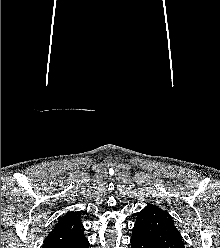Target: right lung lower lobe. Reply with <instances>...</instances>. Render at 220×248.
Wrapping results in <instances>:
<instances>
[{"instance_id":"obj_1","label":"right lung lower lobe","mask_w":220,"mask_h":248,"mask_svg":"<svg viewBox=\"0 0 220 248\" xmlns=\"http://www.w3.org/2000/svg\"><path fill=\"white\" fill-rule=\"evenodd\" d=\"M89 247V242L88 240L84 239L79 242H76L66 248H88Z\"/></svg>"}]
</instances>
